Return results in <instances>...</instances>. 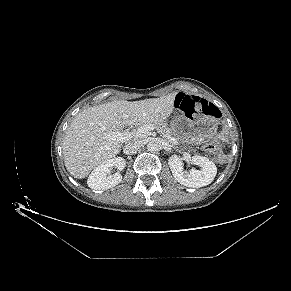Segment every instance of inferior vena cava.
I'll return each mask as SVG.
<instances>
[{"mask_svg": "<svg viewBox=\"0 0 291 291\" xmlns=\"http://www.w3.org/2000/svg\"><path fill=\"white\" fill-rule=\"evenodd\" d=\"M140 147L141 145L139 142H129L124 146L123 152L126 155H132L135 154L140 149Z\"/></svg>", "mask_w": 291, "mask_h": 291, "instance_id": "1", "label": "inferior vena cava"}]
</instances>
